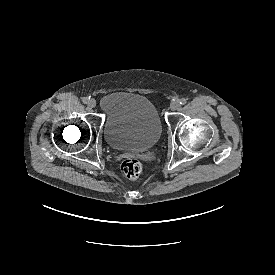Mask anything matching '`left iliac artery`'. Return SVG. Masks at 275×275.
<instances>
[{"label":"left iliac artery","mask_w":275,"mask_h":275,"mask_svg":"<svg viewBox=\"0 0 275 275\" xmlns=\"http://www.w3.org/2000/svg\"><path fill=\"white\" fill-rule=\"evenodd\" d=\"M186 102H187V100H186L185 98L180 99V104H181V105L186 104Z\"/></svg>","instance_id":"obj_1"}]
</instances>
